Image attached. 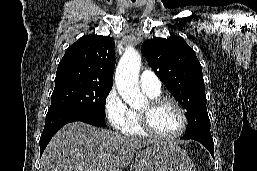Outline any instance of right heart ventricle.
<instances>
[{
	"instance_id": "1",
	"label": "right heart ventricle",
	"mask_w": 257,
	"mask_h": 171,
	"mask_svg": "<svg viewBox=\"0 0 257 171\" xmlns=\"http://www.w3.org/2000/svg\"><path fill=\"white\" fill-rule=\"evenodd\" d=\"M144 94L148 98H155L160 96L159 92H150L143 90ZM127 135H133V136H143L146 133L141 129L140 122H139V115L137 111H132L131 121L128 126V128L124 131Z\"/></svg>"
}]
</instances>
